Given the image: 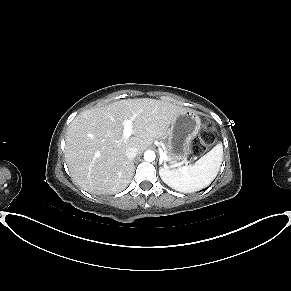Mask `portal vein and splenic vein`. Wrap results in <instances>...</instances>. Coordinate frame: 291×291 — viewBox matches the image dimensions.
Here are the masks:
<instances>
[{
  "label": "portal vein and splenic vein",
  "instance_id": "portal-vein-and-splenic-vein-1",
  "mask_svg": "<svg viewBox=\"0 0 291 291\" xmlns=\"http://www.w3.org/2000/svg\"><path fill=\"white\" fill-rule=\"evenodd\" d=\"M123 138L127 139L132 135V119H126L123 121ZM160 157L162 159H165L166 155L165 153L160 149Z\"/></svg>",
  "mask_w": 291,
  "mask_h": 291
}]
</instances>
